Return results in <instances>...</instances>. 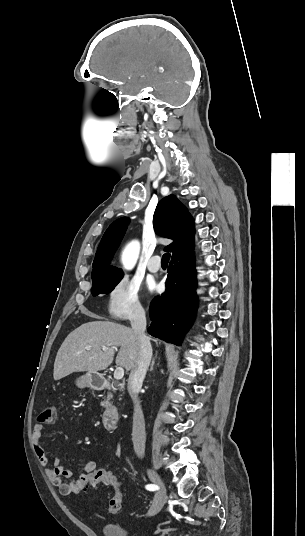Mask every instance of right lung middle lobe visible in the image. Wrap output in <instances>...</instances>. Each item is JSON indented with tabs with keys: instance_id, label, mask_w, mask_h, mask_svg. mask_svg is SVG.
Here are the masks:
<instances>
[{
	"instance_id": "obj_1",
	"label": "right lung middle lobe",
	"mask_w": 305,
	"mask_h": 536,
	"mask_svg": "<svg viewBox=\"0 0 305 536\" xmlns=\"http://www.w3.org/2000/svg\"><path fill=\"white\" fill-rule=\"evenodd\" d=\"M122 278L123 275L93 280L91 293L93 294V296H96L98 294H109Z\"/></svg>"
}]
</instances>
